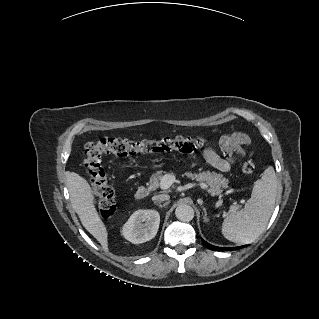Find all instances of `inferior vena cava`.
<instances>
[{"label":"inferior vena cava","mask_w":319,"mask_h":319,"mask_svg":"<svg viewBox=\"0 0 319 319\" xmlns=\"http://www.w3.org/2000/svg\"><path fill=\"white\" fill-rule=\"evenodd\" d=\"M170 199V196L168 194H160V195H155L152 197V200L154 202H163V201H168Z\"/></svg>","instance_id":"obj_1"}]
</instances>
